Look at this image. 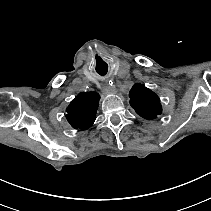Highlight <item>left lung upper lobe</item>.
<instances>
[{
    "label": "left lung upper lobe",
    "instance_id": "5c2ea615",
    "mask_svg": "<svg viewBox=\"0 0 211 211\" xmlns=\"http://www.w3.org/2000/svg\"><path fill=\"white\" fill-rule=\"evenodd\" d=\"M130 105L144 119H155L162 112L160 99L142 84H135L129 92Z\"/></svg>",
    "mask_w": 211,
    "mask_h": 211
}]
</instances>
